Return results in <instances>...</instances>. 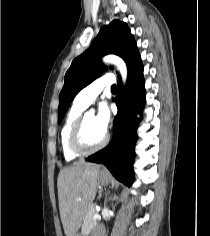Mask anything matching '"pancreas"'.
Here are the masks:
<instances>
[{"label": "pancreas", "mask_w": 210, "mask_h": 236, "mask_svg": "<svg viewBox=\"0 0 210 236\" xmlns=\"http://www.w3.org/2000/svg\"><path fill=\"white\" fill-rule=\"evenodd\" d=\"M96 213V205H91L84 216L82 224L83 234H88L97 225V220L93 219V215Z\"/></svg>", "instance_id": "1"}]
</instances>
